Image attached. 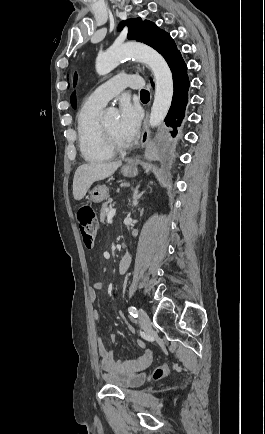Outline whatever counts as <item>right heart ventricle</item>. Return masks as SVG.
<instances>
[{
	"mask_svg": "<svg viewBox=\"0 0 265 434\" xmlns=\"http://www.w3.org/2000/svg\"><path fill=\"white\" fill-rule=\"evenodd\" d=\"M102 108L103 105L89 103L88 99H85L76 113L80 152L89 164L105 163L114 156V152L108 144L103 122L99 117Z\"/></svg>",
	"mask_w": 265,
	"mask_h": 434,
	"instance_id": "e07e8e85",
	"label": "right heart ventricle"
}]
</instances>
